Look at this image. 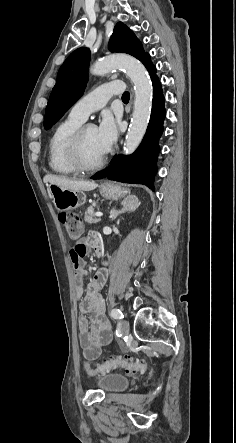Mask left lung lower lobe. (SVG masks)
Segmentation results:
<instances>
[{"label":"left lung lower lobe","mask_w":236,"mask_h":443,"mask_svg":"<svg viewBox=\"0 0 236 443\" xmlns=\"http://www.w3.org/2000/svg\"><path fill=\"white\" fill-rule=\"evenodd\" d=\"M142 63L151 76L154 89L151 118L144 139L134 154L130 156L115 155L110 166L96 173L92 179L107 177L110 180L124 183L145 184L153 190L159 152L158 139L163 132L165 118L164 97L156 76V68L152 64L149 54L145 55Z\"/></svg>","instance_id":"1"}]
</instances>
